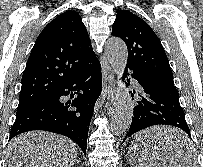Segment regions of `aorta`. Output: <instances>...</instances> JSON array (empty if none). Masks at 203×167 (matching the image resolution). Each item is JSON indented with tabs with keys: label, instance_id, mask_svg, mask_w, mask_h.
Returning a JSON list of instances; mask_svg holds the SVG:
<instances>
[{
	"label": "aorta",
	"instance_id": "762f6f07",
	"mask_svg": "<svg viewBox=\"0 0 203 167\" xmlns=\"http://www.w3.org/2000/svg\"><path fill=\"white\" fill-rule=\"evenodd\" d=\"M105 53L114 73L120 78L111 120V131L119 136L125 134L130 127L134 109L129 91L121 79L127 64L128 50L123 40L112 37L106 42Z\"/></svg>",
	"mask_w": 203,
	"mask_h": 167
}]
</instances>
